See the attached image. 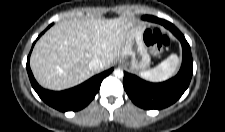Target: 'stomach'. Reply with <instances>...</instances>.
Returning a JSON list of instances; mask_svg holds the SVG:
<instances>
[{
    "mask_svg": "<svg viewBox=\"0 0 225 132\" xmlns=\"http://www.w3.org/2000/svg\"><path fill=\"white\" fill-rule=\"evenodd\" d=\"M144 32L145 28L141 25L130 28L119 55V63L134 72H143L150 65V55L143 38Z\"/></svg>",
    "mask_w": 225,
    "mask_h": 132,
    "instance_id": "stomach-1",
    "label": "stomach"
}]
</instances>
